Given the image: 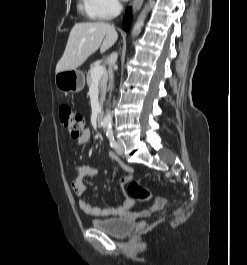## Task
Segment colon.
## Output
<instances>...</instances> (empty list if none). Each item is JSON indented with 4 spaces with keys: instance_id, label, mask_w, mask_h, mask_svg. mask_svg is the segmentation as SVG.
Returning <instances> with one entry per match:
<instances>
[{
    "instance_id": "5ec220e1",
    "label": "colon",
    "mask_w": 247,
    "mask_h": 265,
    "mask_svg": "<svg viewBox=\"0 0 247 265\" xmlns=\"http://www.w3.org/2000/svg\"><path fill=\"white\" fill-rule=\"evenodd\" d=\"M59 117L62 126L74 140H81L84 136V118L68 105H62L59 109ZM122 188L129 198L146 201L151 198V192L144 188L137 180L126 179L122 181Z\"/></svg>"
}]
</instances>
